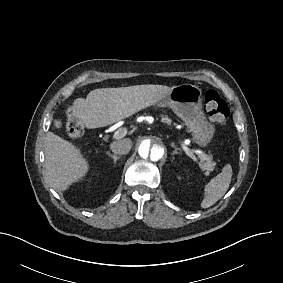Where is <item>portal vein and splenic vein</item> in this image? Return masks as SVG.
Segmentation results:
<instances>
[{"label": "portal vein and splenic vein", "mask_w": 283, "mask_h": 283, "mask_svg": "<svg viewBox=\"0 0 283 283\" xmlns=\"http://www.w3.org/2000/svg\"><path fill=\"white\" fill-rule=\"evenodd\" d=\"M121 132H126V130H125V129H120V130L116 131V132L113 134L112 139H113V140H118L119 138H121V137L123 136V134L120 135ZM183 149H184L185 153H186L189 157H191L195 163H198V162H199L198 158H197L195 155L192 154L191 150H190L188 147L183 146Z\"/></svg>", "instance_id": "obj_1"}]
</instances>
